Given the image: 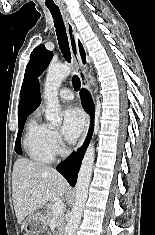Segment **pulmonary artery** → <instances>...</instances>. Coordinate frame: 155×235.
<instances>
[{"label": "pulmonary artery", "instance_id": "pulmonary-artery-1", "mask_svg": "<svg viewBox=\"0 0 155 235\" xmlns=\"http://www.w3.org/2000/svg\"><path fill=\"white\" fill-rule=\"evenodd\" d=\"M58 95L60 99L65 101H71L74 98L73 92L68 88L60 90Z\"/></svg>", "mask_w": 155, "mask_h": 235}]
</instances>
